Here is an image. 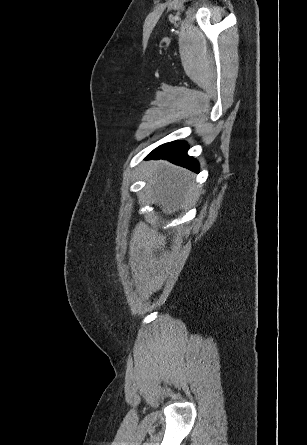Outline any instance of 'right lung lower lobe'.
Returning <instances> with one entry per match:
<instances>
[{
	"label": "right lung lower lobe",
	"mask_w": 307,
	"mask_h": 445,
	"mask_svg": "<svg viewBox=\"0 0 307 445\" xmlns=\"http://www.w3.org/2000/svg\"><path fill=\"white\" fill-rule=\"evenodd\" d=\"M188 146L183 141L163 144L153 150L145 159H167L177 165L199 172L198 162L187 155Z\"/></svg>",
	"instance_id": "98d812e1"
}]
</instances>
